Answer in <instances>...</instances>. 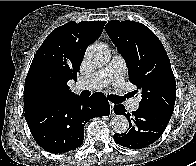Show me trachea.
<instances>
[{"label":"trachea","instance_id":"trachea-1","mask_svg":"<svg viewBox=\"0 0 196 166\" xmlns=\"http://www.w3.org/2000/svg\"><path fill=\"white\" fill-rule=\"evenodd\" d=\"M107 97H108V99H109L111 102H113V103H120V102H122L123 100H125V98H126L125 96L122 97V96H116V95H113V94L108 95Z\"/></svg>","mask_w":196,"mask_h":166}]
</instances>
